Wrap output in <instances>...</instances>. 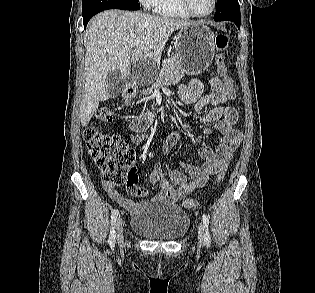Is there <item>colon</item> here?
I'll use <instances>...</instances> for the list:
<instances>
[{
  "label": "colon",
  "instance_id": "1",
  "mask_svg": "<svg viewBox=\"0 0 315 293\" xmlns=\"http://www.w3.org/2000/svg\"><path fill=\"white\" fill-rule=\"evenodd\" d=\"M230 41L228 31L219 33L215 38L216 56L215 63L221 76L220 84L224 85V91L235 94L237 89L232 86L237 84L236 78L227 76L224 52ZM95 118L100 122H111L113 112L109 106H101L95 113ZM85 142L91 158L101 171L104 183L111 185L125 184L127 189L134 195L139 196L141 188L137 186V174L132 168L134 152L129 148L125 139L118 135H109L99 132L94 127L85 130ZM226 166L222 167L216 174L215 183L219 184L226 173ZM186 209L194 210L198 203L193 198H186L183 202Z\"/></svg>",
  "mask_w": 315,
  "mask_h": 293
}]
</instances>
